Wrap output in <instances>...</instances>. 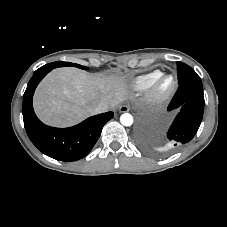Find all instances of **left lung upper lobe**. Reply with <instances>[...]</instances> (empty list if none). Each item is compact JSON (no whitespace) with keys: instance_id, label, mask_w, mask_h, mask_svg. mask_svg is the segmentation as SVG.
<instances>
[{"instance_id":"1","label":"left lung upper lobe","mask_w":227,"mask_h":227,"mask_svg":"<svg viewBox=\"0 0 227 227\" xmlns=\"http://www.w3.org/2000/svg\"><path fill=\"white\" fill-rule=\"evenodd\" d=\"M177 63V72H178V84L189 83L192 85L202 87V82L200 77L196 74V72L188 65L182 62Z\"/></svg>"}]
</instances>
